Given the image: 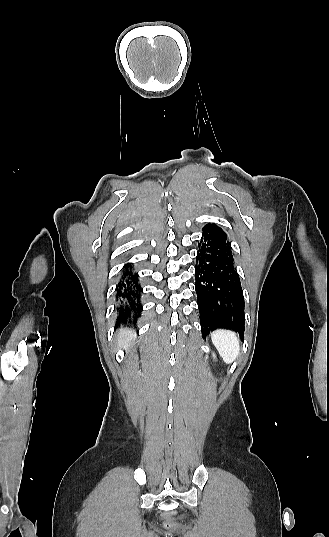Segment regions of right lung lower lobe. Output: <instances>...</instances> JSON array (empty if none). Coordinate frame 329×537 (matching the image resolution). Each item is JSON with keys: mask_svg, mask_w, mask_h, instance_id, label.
<instances>
[{"mask_svg": "<svg viewBox=\"0 0 329 537\" xmlns=\"http://www.w3.org/2000/svg\"><path fill=\"white\" fill-rule=\"evenodd\" d=\"M141 295L142 288L138 274L134 273L132 265L127 264L121 272L120 282L116 291V298L119 302L117 323L126 321L138 313Z\"/></svg>", "mask_w": 329, "mask_h": 537, "instance_id": "obj_1", "label": "right lung lower lobe"}]
</instances>
